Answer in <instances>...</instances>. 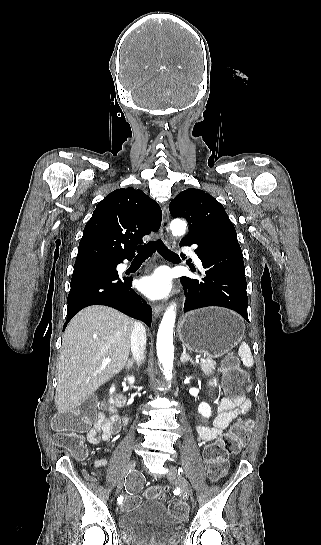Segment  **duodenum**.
<instances>
[{"label":"duodenum","mask_w":321,"mask_h":545,"mask_svg":"<svg viewBox=\"0 0 321 545\" xmlns=\"http://www.w3.org/2000/svg\"><path fill=\"white\" fill-rule=\"evenodd\" d=\"M115 401H116L117 406H119V407H125L126 399H125V397H124L122 394H117V395L115 396ZM128 419H129V416L126 415L125 418H124L125 422H127Z\"/></svg>","instance_id":"duodenum-1"}]
</instances>
